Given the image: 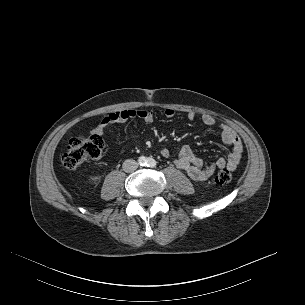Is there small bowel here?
<instances>
[{"label":"small bowel","mask_w":305,"mask_h":305,"mask_svg":"<svg viewBox=\"0 0 305 305\" xmlns=\"http://www.w3.org/2000/svg\"><path fill=\"white\" fill-rule=\"evenodd\" d=\"M164 115L168 118H172L175 115V111L173 109H166ZM197 117H199L200 121L206 126H214L216 124L215 118L209 114L197 115L193 111H189L186 114V118L189 121H193ZM133 118H138L144 123L149 124L153 122L154 114L152 111L146 109H123L114 111L107 114L99 124L93 128L92 133L102 135L110 125L114 123H123ZM219 130L222 141L231 147V153L228 158L220 157L213 162L204 163L188 146L182 147L175 156V165L179 169L186 171L191 179L195 181H205L217 170L223 168L234 170L240 163L243 155V144L241 139L227 124H221ZM160 154L164 158H169L171 156V152L168 148H162Z\"/></svg>","instance_id":"small-bowel-1"}]
</instances>
